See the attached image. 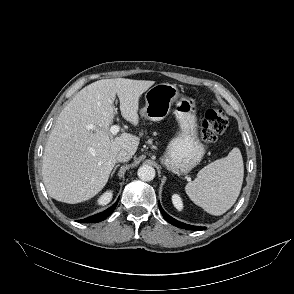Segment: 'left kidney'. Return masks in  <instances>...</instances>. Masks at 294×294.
Masks as SVG:
<instances>
[{"label": "left kidney", "instance_id": "1", "mask_svg": "<svg viewBox=\"0 0 294 294\" xmlns=\"http://www.w3.org/2000/svg\"><path fill=\"white\" fill-rule=\"evenodd\" d=\"M172 202L177 210H179V211L182 210L183 203H182L181 197L178 194H174L172 196Z\"/></svg>", "mask_w": 294, "mask_h": 294}]
</instances>
